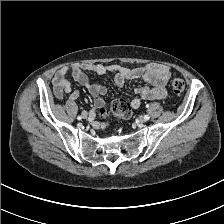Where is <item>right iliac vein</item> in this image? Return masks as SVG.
<instances>
[{
  "mask_svg": "<svg viewBox=\"0 0 224 224\" xmlns=\"http://www.w3.org/2000/svg\"><path fill=\"white\" fill-rule=\"evenodd\" d=\"M87 116H88V113L86 111H83L82 117L85 119V118H87Z\"/></svg>",
  "mask_w": 224,
  "mask_h": 224,
  "instance_id": "1",
  "label": "right iliac vein"
}]
</instances>
